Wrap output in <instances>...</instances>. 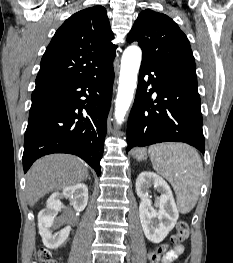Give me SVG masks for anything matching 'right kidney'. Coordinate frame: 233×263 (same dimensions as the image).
<instances>
[{
	"label": "right kidney",
	"instance_id": "ca27d5eb",
	"mask_svg": "<svg viewBox=\"0 0 233 263\" xmlns=\"http://www.w3.org/2000/svg\"><path fill=\"white\" fill-rule=\"evenodd\" d=\"M63 198H69L74 210L81 212L85 209L88 202V187L82 183L75 184L64 188L62 193H53L48 198L46 208L38 214V227L43 244L49 249L60 247L70 234V226L55 232L63 223L62 219L56 217L63 208L61 202Z\"/></svg>",
	"mask_w": 233,
	"mask_h": 263
}]
</instances>
